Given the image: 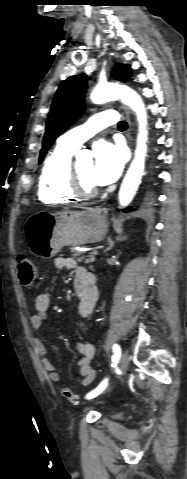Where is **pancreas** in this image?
Returning a JSON list of instances; mask_svg holds the SVG:
<instances>
[{
    "instance_id": "pancreas-1",
    "label": "pancreas",
    "mask_w": 187,
    "mask_h": 479,
    "mask_svg": "<svg viewBox=\"0 0 187 479\" xmlns=\"http://www.w3.org/2000/svg\"><path fill=\"white\" fill-rule=\"evenodd\" d=\"M73 257L76 258L78 262H82L84 259L87 263L94 261V257L86 258L81 252H74Z\"/></svg>"
}]
</instances>
